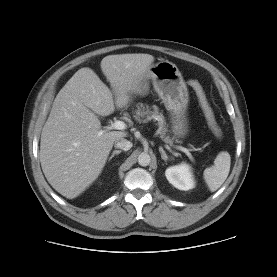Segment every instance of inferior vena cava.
I'll return each mask as SVG.
<instances>
[{"mask_svg":"<svg viewBox=\"0 0 277 277\" xmlns=\"http://www.w3.org/2000/svg\"><path fill=\"white\" fill-rule=\"evenodd\" d=\"M115 147L124 151H128L131 149L132 143L125 138H121L115 141Z\"/></svg>","mask_w":277,"mask_h":277,"instance_id":"inferior-vena-cava-1","label":"inferior vena cava"}]
</instances>
